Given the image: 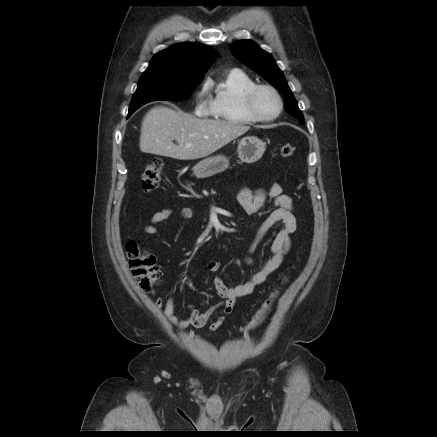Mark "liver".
Segmentation results:
<instances>
[{"mask_svg": "<svg viewBox=\"0 0 437 437\" xmlns=\"http://www.w3.org/2000/svg\"><path fill=\"white\" fill-rule=\"evenodd\" d=\"M249 129L242 124L201 119L157 106L142 120L139 146L143 153L195 160L211 155ZM174 140L178 145L173 143Z\"/></svg>", "mask_w": 437, "mask_h": 437, "instance_id": "1", "label": "liver"}]
</instances>
